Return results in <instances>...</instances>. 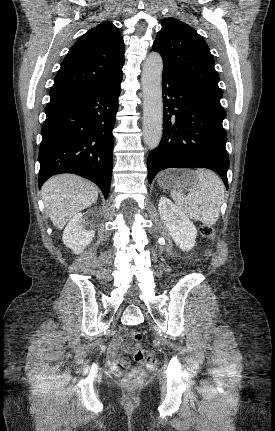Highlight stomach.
Segmentation results:
<instances>
[{"instance_id":"0dacf381","label":"stomach","mask_w":275,"mask_h":431,"mask_svg":"<svg viewBox=\"0 0 275 431\" xmlns=\"http://www.w3.org/2000/svg\"><path fill=\"white\" fill-rule=\"evenodd\" d=\"M197 179L189 171L169 170L160 174L158 184L164 189H184L192 186Z\"/></svg>"}]
</instances>
